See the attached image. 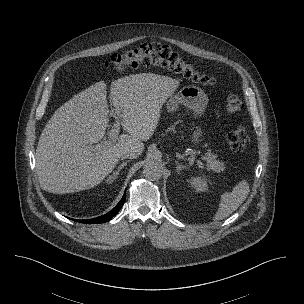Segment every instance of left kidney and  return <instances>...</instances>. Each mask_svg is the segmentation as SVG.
Masks as SVG:
<instances>
[{
  "label": "left kidney",
  "mask_w": 304,
  "mask_h": 304,
  "mask_svg": "<svg viewBox=\"0 0 304 304\" xmlns=\"http://www.w3.org/2000/svg\"><path fill=\"white\" fill-rule=\"evenodd\" d=\"M189 183L196 191H205L208 188L207 179L202 176L192 177Z\"/></svg>",
  "instance_id": "obj_1"
}]
</instances>
